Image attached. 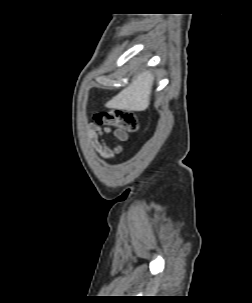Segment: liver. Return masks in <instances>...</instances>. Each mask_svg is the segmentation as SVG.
Listing matches in <instances>:
<instances>
[{"mask_svg": "<svg viewBox=\"0 0 252 303\" xmlns=\"http://www.w3.org/2000/svg\"><path fill=\"white\" fill-rule=\"evenodd\" d=\"M154 76L149 71L138 74L128 87L106 103V107L127 111H144L150 104Z\"/></svg>", "mask_w": 252, "mask_h": 303, "instance_id": "1", "label": "liver"}]
</instances>
